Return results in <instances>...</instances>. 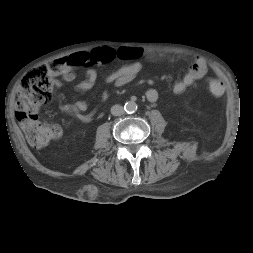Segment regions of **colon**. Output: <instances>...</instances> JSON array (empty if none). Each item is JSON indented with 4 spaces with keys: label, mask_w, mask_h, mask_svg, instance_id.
Returning a JSON list of instances; mask_svg holds the SVG:
<instances>
[{
    "label": "colon",
    "mask_w": 253,
    "mask_h": 253,
    "mask_svg": "<svg viewBox=\"0 0 253 253\" xmlns=\"http://www.w3.org/2000/svg\"><path fill=\"white\" fill-rule=\"evenodd\" d=\"M68 69V60L61 58L50 65L33 68L19 82L15 116L33 147H43L62 134L59 124L39 120L38 108L51 97L53 77L65 74ZM207 89L211 95L221 96L224 93V83L217 79H208Z\"/></svg>",
    "instance_id": "5ec220e1"
}]
</instances>
